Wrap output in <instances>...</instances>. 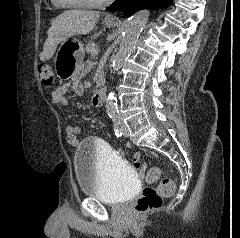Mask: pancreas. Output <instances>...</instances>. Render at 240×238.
Returning <instances> with one entry per match:
<instances>
[{"label": "pancreas", "mask_w": 240, "mask_h": 238, "mask_svg": "<svg viewBox=\"0 0 240 238\" xmlns=\"http://www.w3.org/2000/svg\"><path fill=\"white\" fill-rule=\"evenodd\" d=\"M85 50L88 54L91 53L93 55V51L98 49H97V45L94 42H90L86 45Z\"/></svg>", "instance_id": "pancreas-1"}]
</instances>
